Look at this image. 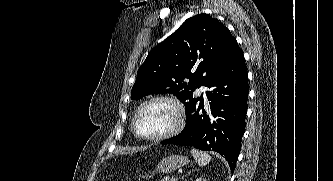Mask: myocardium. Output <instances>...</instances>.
I'll list each match as a JSON object with an SVG mask.
<instances>
[{
  "label": "myocardium",
  "instance_id": "myocardium-1",
  "mask_svg": "<svg viewBox=\"0 0 333 181\" xmlns=\"http://www.w3.org/2000/svg\"><path fill=\"white\" fill-rule=\"evenodd\" d=\"M156 101L168 102L175 108L176 122H175L174 126L165 133H162L157 136H144L137 129L138 116L144 107H146L147 105H149L153 102H156ZM184 123H185V110H184L183 104L180 102L179 99H177L176 97L171 96V95H155V96H152V97L146 99L144 102H142L139 105V107L137 108V110L134 114L131 126H132L133 133L142 140L162 141V140L171 138V137L175 136L176 134H178L182 130Z\"/></svg>",
  "mask_w": 333,
  "mask_h": 181
}]
</instances>
